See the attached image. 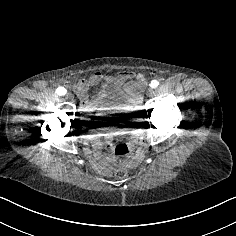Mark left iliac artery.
<instances>
[{"instance_id": "1", "label": "left iliac artery", "mask_w": 236, "mask_h": 236, "mask_svg": "<svg viewBox=\"0 0 236 236\" xmlns=\"http://www.w3.org/2000/svg\"><path fill=\"white\" fill-rule=\"evenodd\" d=\"M158 85H159V82L157 80H152L151 84H150V87L156 88Z\"/></svg>"}]
</instances>
